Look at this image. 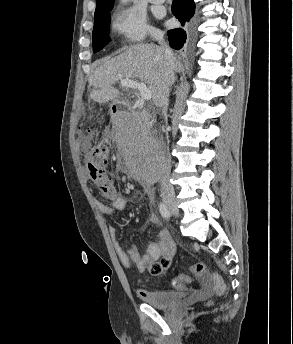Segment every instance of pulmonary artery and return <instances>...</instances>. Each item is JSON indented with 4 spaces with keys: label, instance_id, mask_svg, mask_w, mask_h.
Here are the masks:
<instances>
[{
    "label": "pulmonary artery",
    "instance_id": "obj_1",
    "mask_svg": "<svg viewBox=\"0 0 293 344\" xmlns=\"http://www.w3.org/2000/svg\"><path fill=\"white\" fill-rule=\"evenodd\" d=\"M165 0H149L153 4H162Z\"/></svg>",
    "mask_w": 293,
    "mask_h": 344
}]
</instances>
